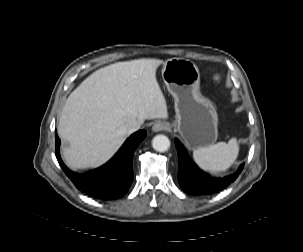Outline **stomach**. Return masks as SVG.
<instances>
[{
  "mask_svg": "<svg viewBox=\"0 0 303 252\" xmlns=\"http://www.w3.org/2000/svg\"><path fill=\"white\" fill-rule=\"evenodd\" d=\"M162 78L175 100L173 129L189 149L213 145L218 135V115L200 93L198 67L187 59L171 58L163 63Z\"/></svg>",
  "mask_w": 303,
  "mask_h": 252,
  "instance_id": "0dacf381",
  "label": "stomach"
}]
</instances>
